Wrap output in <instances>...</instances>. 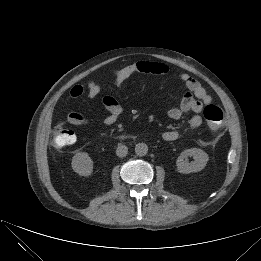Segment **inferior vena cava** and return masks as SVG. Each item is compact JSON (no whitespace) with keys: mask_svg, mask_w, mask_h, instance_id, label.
<instances>
[{"mask_svg":"<svg viewBox=\"0 0 261 261\" xmlns=\"http://www.w3.org/2000/svg\"><path fill=\"white\" fill-rule=\"evenodd\" d=\"M128 153V148L125 145L120 144L116 149V154L119 157H125Z\"/></svg>","mask_w":261,"mask_h":261,"instance_id":"inferior-vena-cava-1","label":"inferior vena cava"}]
</instances>
